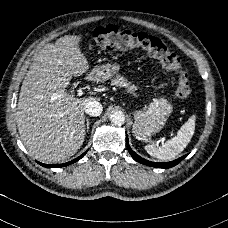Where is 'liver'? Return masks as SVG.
<instances>
[{
	"mask_svg": "<svg viewBox=\"0 0 228 228\" xmlns=\"http://www.w3.org/2000/svg\"><path fill=\"white\" fill-rule=\"evenodd\" d=\"M80 36L65 35L46 44L35 56L21 86L16 122L28 151L40 161H64L85 138L84 106L93 98H76L66 87L84 74L88 61L79 48Z\"/></svg>",
	"mask_w": 228,
	"mask_h": 228,
	"instance_id": "liver-1",
	"label": "liver"
}]
</instances>
